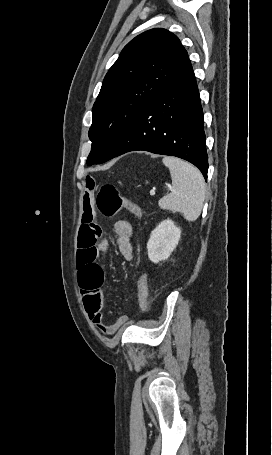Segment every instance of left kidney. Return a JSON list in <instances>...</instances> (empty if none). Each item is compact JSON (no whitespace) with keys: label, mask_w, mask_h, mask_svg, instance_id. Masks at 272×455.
<instances>
[{"label":"left kidney","mask_w":272,"mask_h":455,"mask_svg":"<svg viewBox=\"0 0 272 455\" xmlns=\"http://www.w3.org/2000/svg\"><path fill=\"white\" fill-rule=\"evenodd\" d=\"M181 237V230L172 220L162 221L150 235L147 243L149 259L158 263L166 260L178 245Z\"/></svg>","instance_id":"1"}]
</instances>
